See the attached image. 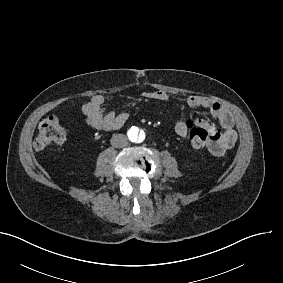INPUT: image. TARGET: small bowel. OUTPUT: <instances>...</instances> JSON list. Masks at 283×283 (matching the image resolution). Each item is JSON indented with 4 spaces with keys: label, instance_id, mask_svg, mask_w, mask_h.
<instances>
[{
    "label": "small bowel",
    "instance_id": "1",
    "mask_svg": "<svg viewBox=\"0 0 283 283\" xmlns=\"http://www.w3.org/2000/svg\"><path fill=\"white\" fill-rule=\"evenodd\" d=\"M140 97L146 100L169 101L170 95L163 90L143 91ZM186 104L193 108H203L209 110L211 115L218 121L222 131H219L213 124L201 120L202 128L208 129L214 138V145L210 153L216 157H222L230 150L237 141L235 129V119L231 112L213 99L202 95H191L186 99ZM83 112L87 122L96 130L112 131L121 128L128 120L127 112L114 113L105 107L103 95H94L83 106ZM184 121L175 124V132L180 137L186 138L182 125Z\"/></svg>",
    "mask_w": 283,
    "mask_h": 283
}]
</instances>
